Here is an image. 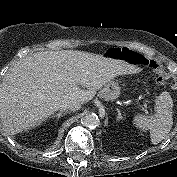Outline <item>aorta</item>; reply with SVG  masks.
<instances>
[{
    "label": "aorta",
    "mask_w": 177,
    "mask_h": 177,
    "mask_svg": "<svg viewBox=\"0 0 177 177\" xmlns=\"http://www.w3.org/2000/svg\"><path fill=\"white\" fill-rule=\"evenodd\" d=\"M84 124L90 128L99 127L101 120L95 113H89L84 118Z\"/></svg>",
    "instance_id": "obj_1"
}]
</instances>
